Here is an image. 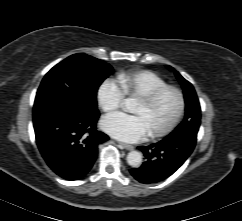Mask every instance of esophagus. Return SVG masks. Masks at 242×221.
Masks as SVG:
<instances>
[{
	"label": "esophagus",
	"instance_id": "esophagus-1",
	"mask_svg": "<svg viewBox=\"0 0 242 221\" xmlns=\"http://www.w3.org/2000/svg\"><path fill=\"white\" fill-rule=\"evenodd\" d=\"M119 146L123 149H126V150H133L134 149L133 145H129V144H125V143H119Z\"/></svg>",
	"mask_w": 242,
	"mask_h": 221
}]
</instances>
